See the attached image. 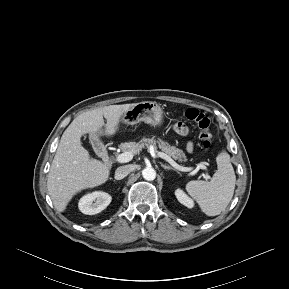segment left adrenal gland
Instances as JSON below:
<instances>
[{
	"label": "left adrenal gland",
	"instance_id": "a2214340",
	"mask_svg": "<svg viewBox=\"0 0 289 289\" xmlns=\"http://www.w3.org/2000/svg\"><path fill=\"white\" fill-rule=\"evenodd\" d=\"M161 166H162L165 170H173V171H176V172H177V170H175L174 168H172V167H170V166H168V165H166V164H162V163H161Z\"/></svg>",
	"mask_w": 289,
	"mask_h": 289
}]
</instances>
